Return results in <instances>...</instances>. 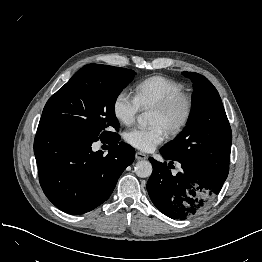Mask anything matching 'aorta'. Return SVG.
I'll return each mask as SVG.
<instances>
[{"label": "aorta", "mask_w": 262, "mask_h": 262, "mask_svg": "<svg viewBox=\"0 0 262 262\" xmlns=\"http://www.w3.org/2000/svg\"><path fill=\"white\" fill-rule=\"evenodd\" d=\"M153 114L150 111H145L138 115L137 122L141 126H146L152 123ZM135 173L140 178H147L152 174V165L149 161L141 160L135 164Z\"/></svg>", "instance_id": "1"}]
</instances>
